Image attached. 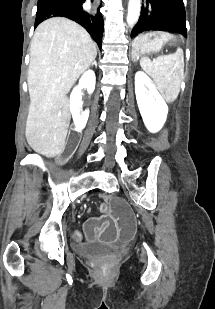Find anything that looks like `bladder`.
<instances>
[{"instance_id":"bladder-1","label":"bladder","mask_w":215,"mask_h":309,"mask_svg":"<svg viewBox=\"0 0 215 309\" xmlns=\"http://www.w3.org/2000/svg\"><path fill=\"white\" fill-rule=\"evenodd\" d=\"M73 250L84 259H107L118 255V251L115 248L100 244H77L73 246Z\"/></svg>"}]
</instances>
